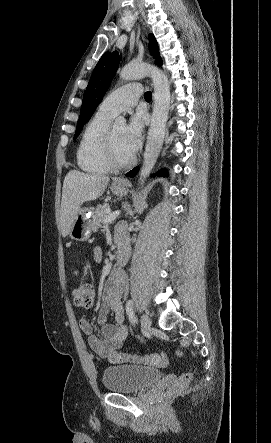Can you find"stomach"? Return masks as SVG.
Returning <instances> with one entry per match:
<instances>
[{
    "instance_id": "obj_1",
    "label": "stomach",
    "mask_w": 271,
    "mask_h": 443,
    "mask_svg": "<svg viewBox=\"0 0 271 443\" xmlns=\"http://www.w3.org/2000/svg\"><path fill=\"white\" fill-rule=\"evenodd\" d=\"M128 186V182H122V180H114L111 186V192L115 194V196H127L129 190L126 188ZM90 218H92L91 210H80L76 216V220L72 223V227L69 231L70 237L72 239H77V241H86L89 239L92 231V222H90Z\"/></svg>"
}]
</instances>
